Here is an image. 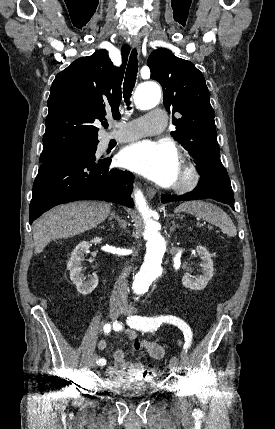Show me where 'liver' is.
<instances>
[{
    "label": "liver",
    "instance_id": "obj_1",
    "mask_svg": "<svg viewBox=\"0 0 275 429\" xmlns=\"http://www.w3.org/2000/svg\"><path fill=\"white\" fill-rule=\"evenodd\" d=\"M104 202H75L46 212L33 224L35 253H41L54 239L68 238L95 228L110 214Z\"/></svg>",
    "mask_w": 275,
    "mask_h": 429
}]
</instances>
